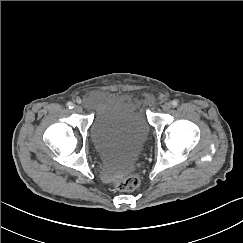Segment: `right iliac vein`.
Masks as SVG:
<instances>
[{
    "label": "right iliac vein",
    "instance_id": "1",
    "mask_svg": "<svg viewBox=\"0 0 243 243\" xmlns=\"http://www.w3.org/2000/svg\"><path fill=\"white\" fill-rule=\"evenodd\" d=\"M73 110L76 113H81L82 112V107L80 105H75Z\"/></svg>",
    "mask_w": 243,
    "mask_h": 243
}]
</instances>
